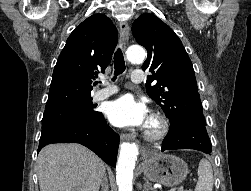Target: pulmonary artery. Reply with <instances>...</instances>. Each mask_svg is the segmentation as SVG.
<instances>
[{
    "instance_id": "pulmonary-artery-1",
    "label": "pulmonary artery",
    "mask_w": 251,
    "mask_h": 191,
    "mask_svg": "<svg viewBox=\"0 0 251 191\" xmlns=\"http://www.w3.org/2000/svg\"><path fill=\"white\" fill-rule=\"evenodd\" d=\"M143 78L144 73H141V68H135V71L131 74L132 82L140 83ZM101 83L103 87L93 94V98L95 100L106 99L118 91V87L116 85L110 84L105 80H101Z\"/></svg>"
}]
</instances>
